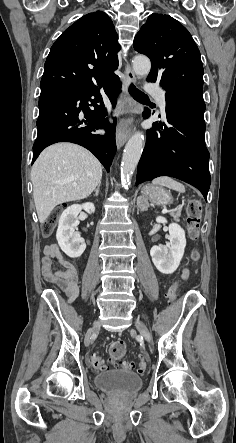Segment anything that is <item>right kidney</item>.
<instances>
[{
  "mask_svg": "<svg viewBox=\"0 0 236 443\" xmlns=\"http://www.w3.org/2000/svg\"><path fill=\"white\" fill-rule=\"evenodd\" d=\"M82 210L92 214L95 206L90 202L71 205L63 211L59 219L56 238L61 250L71 258L80 257L86 249L85 240L75 234V228L79 225L78 214Z\"/></svg>",
  "mask_w": 236,
  "mask_h": 443,
  "instance_id": "right-kidney-1",
  "label": "right kidney"
}]
</instances>
